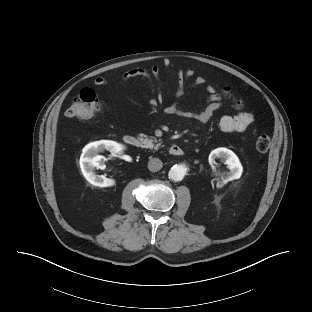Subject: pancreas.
<instances>
[{"mask_svg": "<svg viewBox=\"0 0 312 312\" xmlns=\"http://www.w3.org/2000/svg\"><path fill=\"white\" fill-rule=\"evenodd\" d=\"M139 140L142 142V145H143V147H145V148H154L155 150H158L159 147L161 146V143H160L161 140H156V139L152 140V139H149L148 136L145 135V134H140V135H139ZM153 141H154L155 143H157L155 146H154V144H153ZM158 141H159V142H158Z\"/></svg>", "mask_w": 312, "mask_h": 312, "instance_id": "obj_1", "label": "pancreas"}]
</instances>
